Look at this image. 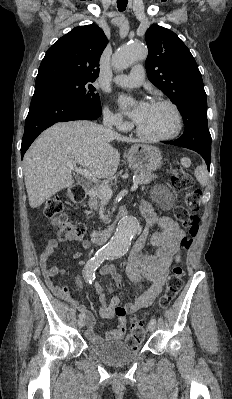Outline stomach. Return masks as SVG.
I'll list each match as a JSON object with an SVG mask.
<instances>
[{
  "instance_id": "1",
  "label": "stomach",
  "mask_w": 232,
  "mask_h": 399,
  "mask_svg": "<svg viewBox=\"0 0 232 399\" xmlns=\"http://www.w3.org/2000/svg\"><path fill=\"white\" fill-rule=\"evenodd\" d=\"M126 160L129 168L136 172H153V170H159L163 164L159 148L146 146V144L132 146Z\"/></svg>"
}]
</instances>
